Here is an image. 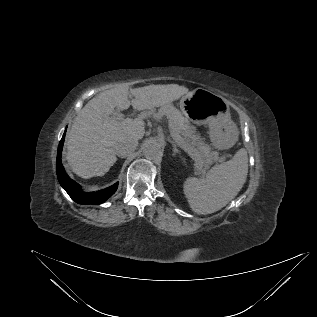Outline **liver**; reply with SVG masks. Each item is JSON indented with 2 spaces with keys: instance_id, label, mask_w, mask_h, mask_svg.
I'll list each match as a JSON object with an SVG mask.
<instances>
[{
  "instance_id": "1",
  "label": "liver",
  "mask_w": 317,
  "mask_h": 317,
  "mask_svg": "<svg viewBox=\"0 0 317 317\" xmlns=\"http://www.w3.org/2000/svg\"><path fill=\"white\" fill-rule=\"evenodd\" d=\"M129 93L134 97L129 100ZM188 93L177 84L149 85L130 89L125 85L101 92L77 114L67 134V161L72 171L82 177L103 176L116 162L115 146L125 140H139L145 134L140 118L112 120L115 108L132 105L142 111L164 106Z\"/></svg>"
}]
</instances>
